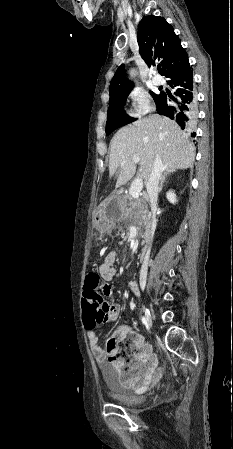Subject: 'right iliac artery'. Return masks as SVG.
<instances>
[{"instance_id":"1","label":"right iliac artery","mask_w":233,"mask_h":449,"mask_svg":"<svg viewBox=\"0 0 233 449\" xmlns=\"http://www.w3.org/2000/svg\"><path fill=\"white\" fill-rule=\"evenodd\" d=\"M142 322H143V324H144V325L148 326V324H147V321H146L145 317H142Z\"/></svg>"}]
</instances>
